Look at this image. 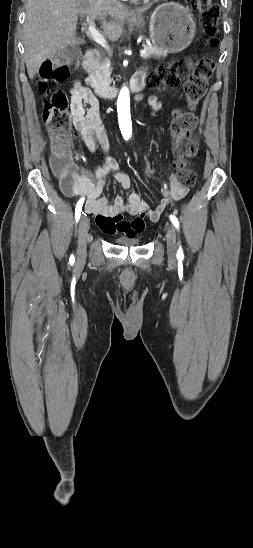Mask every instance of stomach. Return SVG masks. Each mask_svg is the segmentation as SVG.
I'll use <instances>...</instances> for the list:
<instances>
[{"instance_id": "1", "label": "stomach", "mask_w": 253, "mask_h": 548, "mask_svg": "<svg viewBox=\"0 0 253 548\" xmlns=\"http://www.w3.org/2000/svg\"><path fill=\"white\" fill-rule=\"evenodd\" d=\"M133 25L141 28L142 18L134 19ZM196 24L189 10L176 2L159 5L150 17L149 34L152 43L171 53L187 48L193 40Z\"/></svg>"}]
</instances>
